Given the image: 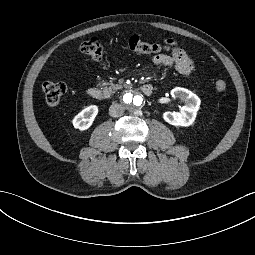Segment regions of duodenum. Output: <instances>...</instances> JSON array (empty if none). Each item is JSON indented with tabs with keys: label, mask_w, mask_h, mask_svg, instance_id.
I'll use <instances>...</instances> for the list:
<instances>
[{
	"label": "duodenum",
	"mask_w": 255,
	"mask_h": 255,
	"mask_svg": "<svg viewBox=\"0 0 255 255\" xmlns=\"http://www.w3.org/2000/svg\"><path fill=\"white\" fill-rule=\"evenodd\" d=\"M141 90L144 94L150 95L153 91V86L151 84L145 83L141 86ZM87 94L89 97L95 100H103L105 98V93L103 90L97 87H90L87 90Z\"/></svg>",
	"instance_id": "duodenum-1"
}]
</instances>
